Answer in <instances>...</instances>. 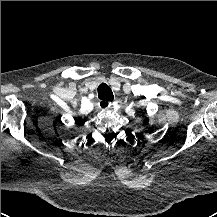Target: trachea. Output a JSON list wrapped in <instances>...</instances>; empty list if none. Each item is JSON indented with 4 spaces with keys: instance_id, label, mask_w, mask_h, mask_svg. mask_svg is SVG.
Wrapping results in <instances>:
<instances>
[{
    "instance_id": "3493384b",
    "label": "trachea",
    "mask_w": 217,
    "mask_h": 217,
    "mask_svg": "<svg viewBox=\"0 0 217 217\" xmlns=\"http://www.w3.org/2000/svg\"><path fill=\"white\" fill-rule=\"evenodd\" d=\"M98 97L107 101L113 99V93L107 84L103 83L98 87Z\"/></svg>"
}]
</instances>
